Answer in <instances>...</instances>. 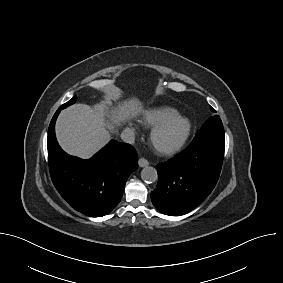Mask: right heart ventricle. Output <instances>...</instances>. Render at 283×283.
Wrapping results in <instances>:
<instances>
[{
  "label": "right heart ventricle",
  "mask_w": 283,
  "mask_h": 283,
  "mask_svg": "<svg viewBox=\"0 0 283 283\" xmlns=\"http://www.w3.org/2000/svg\"><path fill=\"white\" fill-rule=\"evenodd\" d=\"M177 111L169 107H155L146 110L141 117V122L145 127L153 128L163 119L176 114Z\"/></svg>",
  "instance_id": "obj_1"
}]
</instances>
